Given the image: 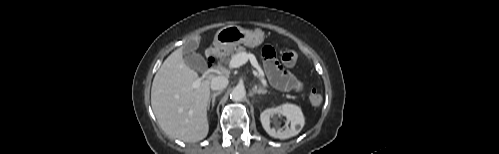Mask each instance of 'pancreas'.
I'll return each mask as SVG.
<instances>
[{
  "label": "pancreas",
  "mask_w": 499,
  "mask_h": 154,
  "mask_svg": "<svg viewBox=\"0 0 499 154\" xmlns=\"http://www.w3.org/2000/svg\"><path fill=\"white\" fill-rule=\"evenodd\" d=\"M246 52V49L243 47V46H239L238 48H235V49H229L227 51H225L222 55H223V59L222 60H225L226 62H229L232 57L238 53H245Z\"/></svg>",
  "instance_id": "cf45deb5"
}]
</instances>
